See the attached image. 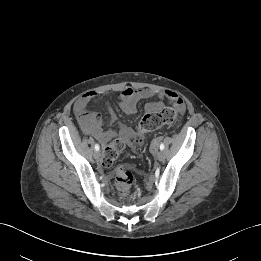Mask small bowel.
<instances>
[{"mask_svg":"<svg viewBox=\"0 0 261 261\" xmlns=\"http://www.w3.org/2000/svg\"><path fill=\"white\" fill-rule=\"evenodd\" d=\"M156 96H159L161 100L147 103L145 105L146 112L162 109V100L173 104L180 111L184 110L183 99L180 95L171 90L158 93L151 89H134L132 87H124L118 94L119 105L124 113L134 114L137 110V105L141 100L151 99ZM99 98L98 93L91 91L83 94L76 100L74 109L83 130L101 143H107L117 136L123 138L130 137L133 134V131L129 127L117 122L116 115L108 102H106V108L109 114L107 123L114 126V128L105 129L104 126L106 122L102 116L96 112L88 111V104Z\"/></svg>","mask_w":261,"mask_h":261,"instance_id":"1","label":"small bowel"}]
</instances>
